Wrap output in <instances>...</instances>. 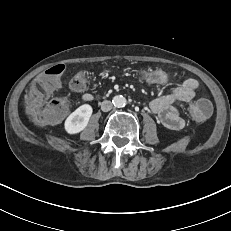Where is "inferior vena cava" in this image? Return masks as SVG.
Instances as JSON below:
<instances>
[{"instance_id": "1", "label": "inferior vena cava", "mask_w": 231, "mask_h": 231, "mask_svg": "<svg viewBox=\"0 0 231 231\" xmlns=\"http://www.w3.org/2000/svg\"><path fill=\"white\" fill-rule=\"evenodd\" d=\"M113 108V104L111 101L109 100H104L102 103H101V110L103 112H108L110 111L111 109Z\"/></svg>"}]
</instances>
